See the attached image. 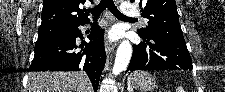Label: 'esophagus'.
Masks as SVG:
<instances>
[{
  "instance_id": "obj_1",
  "label": "esophagus",
  "mask_w": 225,
  "mask_h": 92,
  "mask_svg": "<svg viewBox=\"0 0 225 92\" xmlns=\"http://www.w3.org/2000/svg\"><path fill=\"white\" fill-rule=\"evenodd\" d=\"M115 2L118 4L119 0H115ZM116 47V43L115 42H110L109 40L106 41L105 43V50L107 53L112 52Z\"/></svg>"
}]
</instances>
